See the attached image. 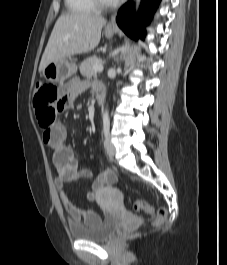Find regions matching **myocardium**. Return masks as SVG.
Returning <instances> with one entry per match:
<instances>
[{
	"instance_id": "1",
	"label": "myocardium",
	"mask_w": 227,
	"mask_h": 265,
	"mask_svg": "<svg viewBox=\"0 0 227 265\" xmlns=\"http://www.w3.org/2000/svg\"><path fill=\"white\" fill-rule=\"evenodd\" d=\"M93 2L97 8H108L112 6V3H113L108 0H93Z\"/></svg>"
}]
</instances>
